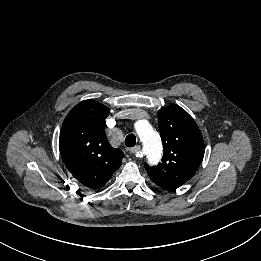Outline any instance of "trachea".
Returning a JSON list of instances; mask_svg holds the SVG:
<instances>
[{"label": "trachea", "instance_id": "trachea-1", "mask_svg": "<svg viewBox=\"0 0 261 261\" xmlns=\"http://www.w3.org/2000/svg\"><path fill=\"white\" fill-rule=\"evenodd\" d=\"M125 145L127 147H134L136 145V137L134 134H129L126 136Z\"/></svg>", "mask_w": 261, "mask_h": 261}]
</instances>
